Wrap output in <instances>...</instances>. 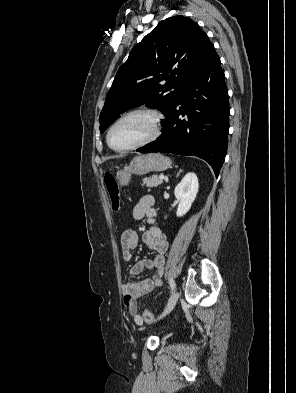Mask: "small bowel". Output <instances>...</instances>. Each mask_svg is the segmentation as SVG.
I'll list each match as a JSON object with an SVG mask.
<instances>
[{
	"instance_id": "c3829d8e",
	"label": "small bowel",
	"mask_w": 296,
	"mask_h": 393,
	"mask_svg": "<svg viewBox=\"0 0 296 393\" xmlns=\"http://www.w3.org/2000/svg\"><path fill=\"white\" fill-rule=\"evenodd\" d=\"M132 217L135 220L145 218L150 227L142 234V242L151 250L157 252L153 259L143 258L130 269V274L136 276L143 269L149 268L154 270L151 278L142 279L137 282H126L122 285L123 302L127 308L128 315L138 324H143L142 317L137 311V301L145 294L151 292L162 284V275L165 265V253L169 248L168 240L161 229L154 225L156 210L153 207V198L150 196L143 197L132 209ZM120 246L123 258L130 261L132 252L138 246V235L135 230L127 229L121 234Z\"/></svg>"
}]
</instances>
